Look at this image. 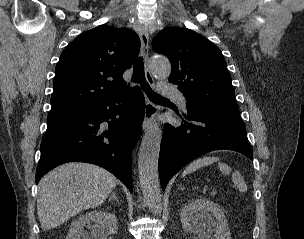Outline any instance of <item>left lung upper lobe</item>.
Masks as SVG:
<instances>
[{
  "mask_svg": "<svg viewBox=\"0 0 304 239\" xmlns=\"http://www.w3.org/2000/svg\"><path fill=\"white\" fill-rule=\"evenodd\" d=\"M152 46L169 58V81L184 94L188 113L240 117L231 76L216 45L193 30L174 27L160 31Z\"/></svg>",
  "mask_w": 304,
  "mask_h": 239,
  "instance_id": "left-lung-upper-lobe-1",
  "label": "left lung upper lobe"
}]
</instances>
